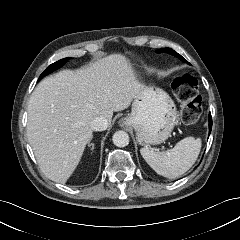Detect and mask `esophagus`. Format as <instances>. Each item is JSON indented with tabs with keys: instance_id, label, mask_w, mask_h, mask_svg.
Here are the masks:
<instances>
[{
	"instance_id": "obj_1",
	"label": "esophagus",
	"mask_w": 240,
	"mask_h": 240,
	"mask_svg": "<svg viewBox=\"0 0 240 240\" xmlns=\"http://www.w3.org/2000/svg\"><path fill=\"white\" fill-rule=\"evenodd\" d=\"M119 123L121 126H126L129 124V121L126 118H122V119H120Z\"/></svg>"
}]
</instances>
